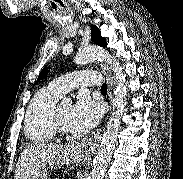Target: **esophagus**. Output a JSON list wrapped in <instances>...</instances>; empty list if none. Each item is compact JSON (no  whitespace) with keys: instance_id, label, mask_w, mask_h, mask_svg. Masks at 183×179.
<instances>
[{"instance_id":"1","label":"esophagus","mask_w":183,"mask_h":179,"mask_svg":"<svg viewBox=\"0 0 183 179\" xmlns=\"http://www.w3.org/2000/svg\"><path fill=\"white\" fill-rule=\"evenodd\" d=\"M103 70L107 76V82L109 91H111L113 85V76L112 73L107 65H102ZM102 130L97 129L96 131L92 132L90 135L86 136L85 138L78 141L74 147L79 149L82 152L92 153L96 150L99 140L101 138Z\"/></svg>"}]
</instances>
